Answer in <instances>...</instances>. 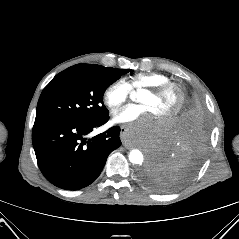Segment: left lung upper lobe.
Here are the masks:
<instances>
[{
  "mask_svg": "<svg viewBox=\"0 0 239 239\" xmlns=\"http://www.w3.org/2000/svg\"><path fill=\"white\" fill-rule=\"evenodd\" d=\"M145 182L149 184L150 186L157 188V189H162V185L159 182V180L156 177H153V175L146 174L143 176Z\"/></svg>",
  "mask_w": 239,
  "mask_h": 239,
  "instance_id": "left-lung-upper-lobe-1",
  "label": "left lung upper lobe"
}]
</instances>
